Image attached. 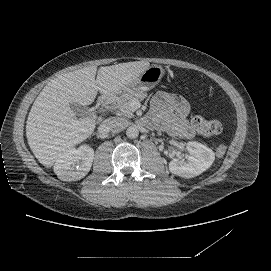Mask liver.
<instances>
[{"mask_svg": "<svg viewBox=\"0 0 271 271\" xmlns=\"http://www.w3.org/2000/svg\"><path fill=\"white\" fill-rule=\"evenodd\" d=\"M149 66L147 61H134L102 66L97 71L93 65L51 79L35 99L26 121L27 141L38 161L45 167L53 166L66 150L94 132L95 119H78L71 104L86 106L94 102L98 92H120Z\"/></svg>", "mask_w": 271, "mask_h": 271, "instance_id": "1", "label": "liver"}]
</instances>
